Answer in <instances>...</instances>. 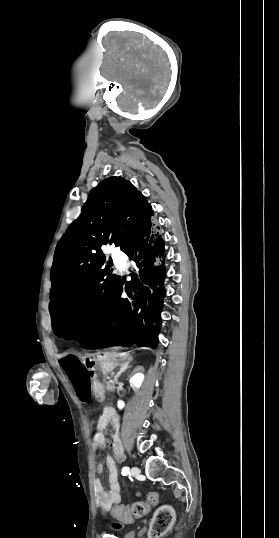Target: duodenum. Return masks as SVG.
<instances>
[{
	"label": "duodenum",
	"instance_id": "410a0bca",
	"mask_svg": "<svg viewBox=\"0 0 279 538\" xmlns=\"http://www.w3.org/2000/svg\"><path fill=\"white\" fill-rule=\"evenodd\" d=\"M91 376H95V373H91ZM93 386H98V381H93ZM113 406L111 404L103 405L102 413L104 415H110L112 413Z\"/></svg>",
	"mask_w": 279,
	"mask_h": 538
}]
</instances>
